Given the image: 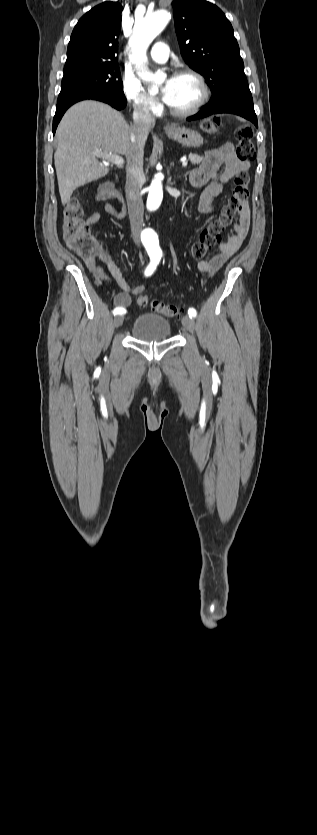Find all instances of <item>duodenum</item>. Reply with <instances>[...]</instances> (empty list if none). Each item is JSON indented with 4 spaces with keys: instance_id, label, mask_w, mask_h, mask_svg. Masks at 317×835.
<instances>
[{
    "instance_id": "duodenum-1",
    "label": "duodenum",
    "mask_w": 317,
    "mask_h": 835,
    "mask_svg": "<svg viewBox=\"0 0 317 835\" xmlns=\"http://www.w3.org/2000/svg\"><path fill=\"white\" fill-rule=\"evenodd\" d=\"M105 190H106V192H107L108 197H115V198H118L119 200H123V195H122V193H121L119 190H117V189L113 186V184H111V183H106V184H105Z\"/></svg>"
}]
</instances>
